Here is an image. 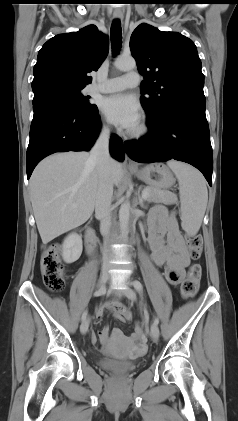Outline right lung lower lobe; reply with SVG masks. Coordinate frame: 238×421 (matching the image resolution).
<instances>
[{"instance_id": "obj_1", "label": "right lung lower lobe", "mask_w": 238, "mask_h": 421, "mask_svg": "<svg viewBox=\"0 0 238 421\" xmlns=\"http://www.w3.org/2000/svg\"><path fill=\"white\" fill-rule=\"evenodd\" d=\"M33 111L26 155L28 179L35 166L50 154L90 150L101 129L98 109L85 113L57 95L35 97ZM110 153L118 161L125 158L122 140L117 135L111 136Z\"/></svg>"}]
</instances>
